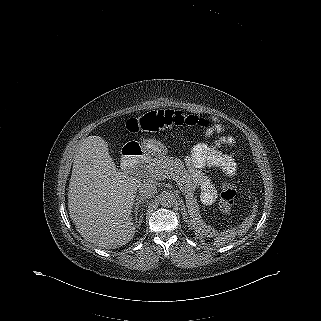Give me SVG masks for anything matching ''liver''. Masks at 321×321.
Here are the masks:
<instances>
[{
    "label": "liver",
    "mask_w": 321,
    "mask_h": 321,
    "mask_svg": "<svg viewBox=\"0 0 321 321\" xmlns=\"http://www.w3.org/2000/svg\"><path fill=\"white\" fill-rule=\"evenodd\" d=\"M140 179L117 170L107 142L89 136L78 146L68 191V210L84 239L104 249L135 234L131 212Z\"/></svg>",
    "instance_id": "6515ba94"
}]
</instances>
